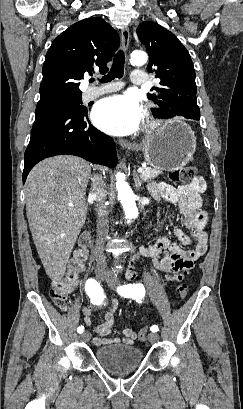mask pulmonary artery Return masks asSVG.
<instances>
[{
    "label": "pulmonary artery",
    "mask_w": 243,
    "mask_h": 409,
    "mask_svg": "<svg viewBox=\"0 0 243 409\" xmlns=\"http://www.w3.org/2000/svg\"><path fill=\"white\" fill-rule=\"evenodd\" d=\"M131 81L135 85H143L146 82L145 73L141 70H134L131 73ZM120 87V84H106L101 87H92L84 92L83 99L85 101H90L104 94L116 91L120 89Z\"/></svg>",
    "instance_id": "1"
}]
</instances>
